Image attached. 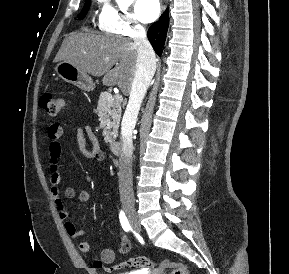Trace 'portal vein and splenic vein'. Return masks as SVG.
Masks as SVG:
<instances>
[{"label": "portal vein and splenic vein", "mask_w": 289, "mask_h": 274, "mask_svg": "<svg viewBox=\"0 0 289 274\" xmlns=\"http://www.w3.org/2000/svg\"><path fill=\"white\" fill-rule=\"evenodd\" d=\"M114 97H115L118 101H122V100H123V97H122V95H120V94H116Z\"/></svg>", "instance_id": "obj_1"}]
</instances>
